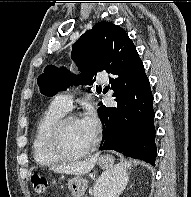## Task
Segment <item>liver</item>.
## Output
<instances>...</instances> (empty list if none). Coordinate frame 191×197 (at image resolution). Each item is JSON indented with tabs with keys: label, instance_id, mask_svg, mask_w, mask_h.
<instances>
[{
	"label": "liver",
	"instance_id": "obj_1",
	"mask_svg": "<svg viewBox=\"0 0 191 197\" xmlns=\"http://www.w3.org/2000/svg\"><path fill=\"white\" fill-rule=\"evenodd\" d=\"M98 156L99 154H95L84 161L73 162L70 164L53 165L49 169L57 173L84 175L93 169L97 162Z\"/></svg>",
	"mask_w": 191,
	"mask_h": 197
}]
</instances>
